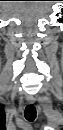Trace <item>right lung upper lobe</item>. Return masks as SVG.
<instances>
[{"instance_id": "right-lung-upper-lobe-1", "label": "right lung upper lobe", "mask_w": 63, "mask_h": 130, "mask_svg": "<svg viewBox=\"0 0 63 130\" xmlns=\"http://www.w3.org/2000/svg\"><path fill=\"white\" fill-rule=\"evenodd\" d=\"M2 121H3V125L5 124V115L4 113L2 114Z\"/></svg>"}]
</instances>
